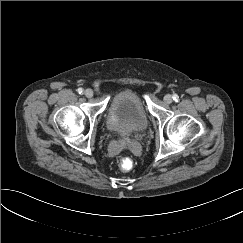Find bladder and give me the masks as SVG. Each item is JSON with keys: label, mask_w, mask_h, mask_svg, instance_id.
<instances>
[{"label": "bladder", "mask_w": 243, "mask_h": 243, "mask_svg": "<svg viewBox=\"0 0 243 243\" xmlns=\"http://www.w3.org/2000/svg\"><path fill=\"white\" fill-rule=\"evenodd\" d=\"M106 124L112 133L121 137L143 132L148 116L140 97L131 90L115 94L107 109Z\"/></svg>", "instance_id": "1"}]
</instances>
